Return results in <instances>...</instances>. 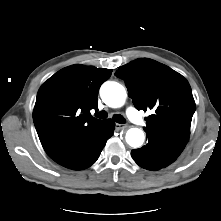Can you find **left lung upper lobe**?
<instances>
[{"instance_id":"1","label":"left lung upper lobe","mask_w":221,"mask_h":221,"mask_svg":"<svg viewBox=\"0 0 221 221\" xmlns=\"http://www.w3.org/2000/svg\"><path fill=\"white\" fill-rule=\"evenodd\" d=\"M115 75L125 81L138 110H152L153 114L145 118L147 137L182 152L196 109L188 81L168 66L148 58L120 67Z\"/></svg>"}]
</instances>
